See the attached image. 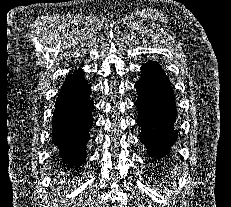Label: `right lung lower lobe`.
Instances as JSON below:
<instances>
[{"label": "right lung lower lobe", "instance_id": "98d812e1", "mask_svg": "<svg viewBox=\"0 0 231 207\" xmlns=\"http://www.w3.org/2000/svg\"><path fill=\"white\" fill-rule=\"evenodd\" d=\"M90 91L84 73L78 70L67 77L56 100L52 139L63 164L71 169H77L86 158L89 129L93 124Z\"/></svg>", "mask_w": 231, "mask_h": 207}]
</instances>
